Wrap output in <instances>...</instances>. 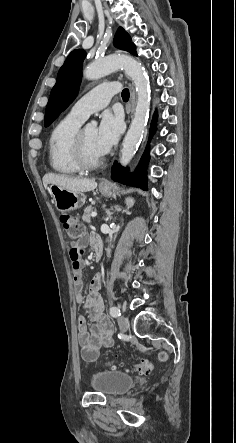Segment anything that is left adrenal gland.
Instances as JSON below:
<instances>
[{
	"mask_svg": "<svg viewBox=\"0 0 236 443\" xmlns=\"http://www.w3.org/2000/svg\"><path fill=\"white\" fill-rule=\"evenodd\" d=\"M133 204H134V202H132V201H130V202H127V206H128V207H131V206H133Z\"/></svg>",
	"mask_w": 236,
	"mask_h": 443,
	"instance_id": "left-adrenal-gland-1",
	"label": "left adrenal gland"
}]
</instances>
